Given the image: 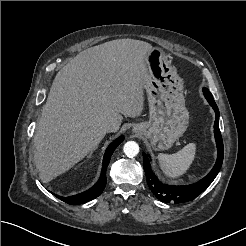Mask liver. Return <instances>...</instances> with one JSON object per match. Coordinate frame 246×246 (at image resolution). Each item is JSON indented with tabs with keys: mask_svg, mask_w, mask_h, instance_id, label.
I'll return each instance as SVG.
<instances>
[{
	"mask_svg": "<svg viewBox=\"0 0 246 246\" xmlns=\"http://www.w3.org/2000/svg\"><path fill=\"white\" fill-rule=\"evenodd\" d=\"M152 50L144 41L116 39L80 52L57 73L33 138L42 182L88 155L105 136L104 122L118 130L123 116L142 113Z\"/></svg>",
	"mask_w": 246,
	"mask_h": 246,
	"instance_id": "6515ba94",
	"label": "liver"
}]
</instances>
